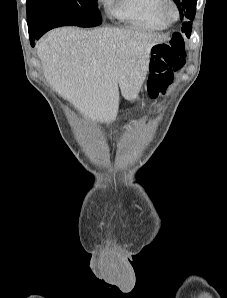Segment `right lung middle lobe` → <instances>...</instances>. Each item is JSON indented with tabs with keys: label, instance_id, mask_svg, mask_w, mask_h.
<instances>
[{
	"label": "right lung middle lobe",
	"instance_id": "dd1d6c3e",
	"mask_svg": "<svg viewBox=\"0 0 227 298\" xmlns=\"http://www.w3.org/2000/svg\"><path fill=\"white\" fill-rule=\"evenodd\" d=\"M29 34L66 25L94 27L101 24L97 0H27Z\"/></svg>",
	"mask_w": 227,
	"mask_h": 298
}]
</instances>
